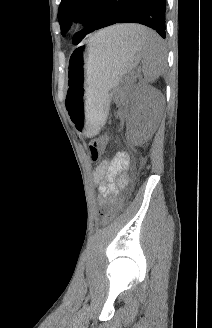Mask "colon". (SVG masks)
<instances>
[{
  "mask_svg": "<svg viewBox=\"0 0 212 328\" xmlns=\"http://www.w3.org/2000/svg\"><path fill=\"white\" fill-rule=\"evenodd\" d=\"M107 144L108 139L106 136H100L91 141L89 150L93 161H97L99 159L100 155L105 151ZM123 202V198L120 197L114 205L102 214V224L106 225L110 223L117 216L123 207Z\"/></svg>",
  "mask_w": 212,
  "mask_h": 328,
  "instance_id": "obj_1",
  "label": "colon"
}]
</instances>
